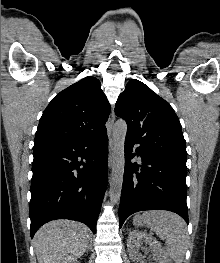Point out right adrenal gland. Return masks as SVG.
Returning a JSON list of instances; mask_svg holds the SVG:
<instances>
[{
    "label": "right adrenal gland",
    "instance_id": "1",
    "mask_svg": "<svg viewBox=\"0 0 220 263\" xmlns=\"http://www.w3.org/2000/svg\"><path fill=\"white\" fill-rule=\"evenodd\" d=\"M88 248H91V244H89Z\"/></svg>",
    "mask_w": 220,
    "mask_h": 263
}]
</instances>
